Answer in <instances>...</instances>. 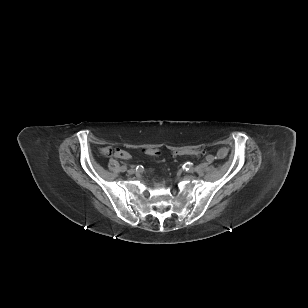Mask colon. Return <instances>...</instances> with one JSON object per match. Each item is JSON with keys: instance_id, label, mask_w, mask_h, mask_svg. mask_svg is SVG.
Listing matches in <instances>:
<instances>
[{"instance_id": "obj_1", "label": "colon", "mask_w": 308, "mask_h": 308, "mask_svg": "<svg viewBox=\"0 0 308 308\" xmlns=\"http://www.w3.org/2000/svg\"><path fill=\"white\" fill-rule=\"evenodd\" d=\"M102 152H103V154H106V155L111 154V150L108 149V148L104 149ZM145 153L147 155H150V156L159 155V151L157 149H153V148L145 149ZM180 153L181 154H189V155L198 157L202 154V151H200V150H188V151H182ZM113 155L116 158L123 159V160H127L130 157L128 152H126L125 150L119 149V148L115 149V151L113 152Z\"/></svg>"}]
</instances>
